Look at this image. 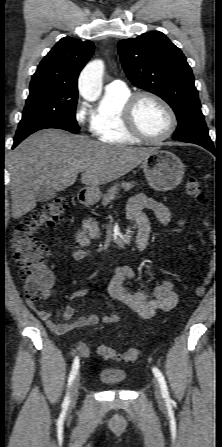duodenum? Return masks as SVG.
Listing matches in <instances>:
<instances>
[{
    "instance_id": "duodenum-1",
    "label": "duodenum",
    "mask_w": 222,
    "mask_h": 447,
    "mask_svg": "<svg viewBox=\"0 0 222 447\" xmlns=\"http://www.w3.org/2000/svg\"><path fill=\"white\" fill-rule=\"evenodd\" d=\"M80 201L84 205H89L92 203V195L87 192H82L80 195ZM75 239L78 242V244L85 246L89 243V237L85 230L82 228H77L75 231Z\"/></svg>"
}]
</instances>
